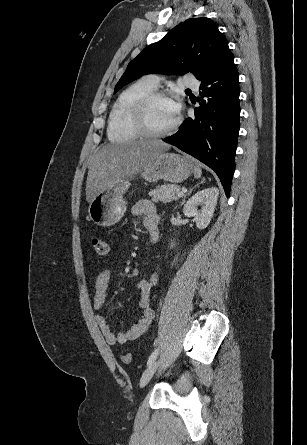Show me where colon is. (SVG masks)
<instances>
[{
  "label": "colon",
  "mask_w": 307,
  "mask_h": 445,
  "mask_svg": "<svg viewBox=\"0 0 307 445\" xmlns=\"http://www.w3.org/2000/svg\"><path fill=\"white\" fill-rule=\"evenodd\" d=\"M91 243L94 247L95 252L100 256H106L109 253V245L103 239L92 236ZM132 356L131 353L125 352L121 355V360L125 364H129L131 362Z\"/></svg>",
  "instance_id": "colon-1"
}]
</instances>
